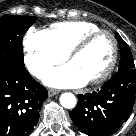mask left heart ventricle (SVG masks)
<instances>
[{
    "label": "left heart ventricle",
    "mask_w": 136,
    "mask_h": 136,
    "mask_svg": "<svg viewBox=\"0 0 136 136\" xmlns=\"http://www.w3.org/2000/svg\"><path fill=\"white\" fill-rule=\"evenodd\" d=\"M112 52L111 38L108 35H101L94 39L83 52L75 56L70 63L89 81L107 68Z\"/></svg>",
    "instance_id": "1"
}]
</instances>
